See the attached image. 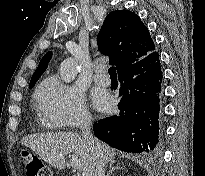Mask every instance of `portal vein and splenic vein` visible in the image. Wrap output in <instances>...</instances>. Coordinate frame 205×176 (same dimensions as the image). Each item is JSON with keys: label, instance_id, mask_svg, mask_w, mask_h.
<instances>
[{"label": "portal vein and splenic vein", "instance_id": "portal-vein-and-splenic-vein-1", "mask_svg": "<svg viewBox=\"0 0 205 176\" xmlns=\"http://www.w3.org/2000/svg\"><path fill=\"white\" fill-rule=\"evenodd\" d=\"M81 176H89V174L86 173V172H83V173L81 174Z\"/></svg>", "mask_w": 205, "mask_h": 176}]
</instances>
